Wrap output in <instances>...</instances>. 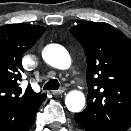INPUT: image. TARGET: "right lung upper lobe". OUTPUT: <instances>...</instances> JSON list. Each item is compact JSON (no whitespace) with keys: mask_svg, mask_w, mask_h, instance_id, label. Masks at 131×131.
Returning <instances> with one entry per match:
<instances>
[{"mask_svg":"<svg viewBox=\"0 0 131 131\" xmlns=\"http://www.w3.org/2000/svg\"><path fill=\"white\" fill-rule=\"evenodd\" d=\"M45 32V28L29 24H9L0 27V118L14 116L38 108L46 95L36 93L30 85L20 87L23 72L22 55Z\"/></svg>","mask_w":131,"mask_h":131,"instance_id":"1","label":"right lung upper lobe"}]
</instances>
